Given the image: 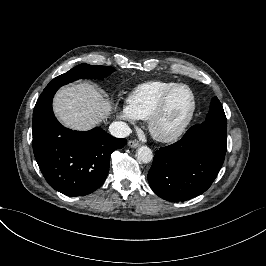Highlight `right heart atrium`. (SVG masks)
Instances as JSON below:
<instances>
[{
    "instance_id": "d8ad5b80",
    "label": "right heart atrium",
    "mask_w": 266,
    "mask_h": 266,
    "mask_svg": "<svg viewBox=\"0 0 266 266\" xmlns=\"http://www.w3.org/2000/svg\"><path fill=\"white\" fill-rule=\"evenodd\" d=\"M119 115L127 120L134 121L136 117L128 105H122L119 109Z\"/></svg>"
}]
</instances>
